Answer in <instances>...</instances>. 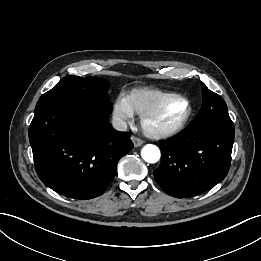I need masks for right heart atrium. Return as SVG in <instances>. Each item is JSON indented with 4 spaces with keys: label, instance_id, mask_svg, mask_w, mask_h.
<instances>
[{
    "label": "right heart atrium",
    "instance_id": "right-heart-atrium-1",
    "mask_svg": "<svg viewBox=\"0 0 261 261\" xmlns=\"http://www.w3.org/2000/svg\"><path fill=\"white\" fill-rule=\"evenodd\" d=\"M113 118L118 126L123 127L134 118V111L130 106L128 97L119 94L113 103Z\"/></svg>",
    "mask_w": 261,
    "mask_h": 261
}]
</instances>
